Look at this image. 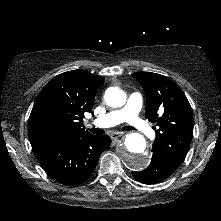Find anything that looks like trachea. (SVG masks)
Instances as JSON below:
<instances>
[{
	"label": "trachea",
	"instance_id": "3493384b",
	"mask_svg": "<svg viewBox=\"0 0 221 221\" xmlns=\"http://www.w3.org/2000/svg\"><path fill=\"white\" fill-rule=\"evenodd\" d=\"M92 133L96 134V135H102L105 133V131L103 129L100 128H92L89 129ZM123 131H130V130H135V128L131 127V126H125L122 128Z\"/></svg>",
	"mask_w": 221,
	"mask_h": 221
}]
</instances>
